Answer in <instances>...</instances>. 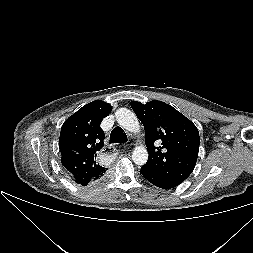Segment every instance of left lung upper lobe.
<instances>
[{
  "instance_id": "obj_1",
  "label": "left lung upper lobe",
  "mask_w": 253,
  "mask_h": 253,
  "mask_svg": "<svg viewBox=\"0 0 253 253\" xmlns=\"http://www.w3.org/2000/svg\"><path fill=\"white\" fill-rule=\"evenodd\" d=\"M131 107L145 128L149 154L146 169L182 183L193 171L199 151V132L192 121L162 101ZM159 145V146H158Z\"/></svg>"
}]
</instances>
